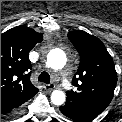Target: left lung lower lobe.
Instances as JSON below:
<instances>
[{"instance_id": "left-lung-lower-lobe-1", "label": "left lung lower lobe", "mask_w": 122, "mask_h": 122, "mask_svg": "<svg viewBox=\"0 0 122 122\" xmlns=\"http://www.w3.org/2000/svg\"><path fill=\"white\" fill-rule=\"evenodd\" d=\"M60 111L66 117L78 122L91 121L99 114L87 107L75 104L67 100L65 105L60 107Z\"/></svg>"}]
</instances>
